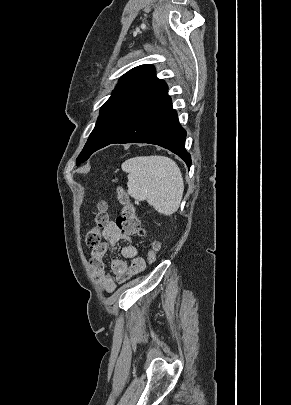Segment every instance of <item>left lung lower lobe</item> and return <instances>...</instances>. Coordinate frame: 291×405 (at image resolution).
Returning <instances> with one entry per match:
<instances>
[{
    "label": "left lung lower lobe",
    "mask_w": 291,
    "mask_h": 405,
    "mask_svg": "<svg viewBox=\"0 0 291 405\" xmlns=\"http://www.w3.org/2000/svg\"><path fill=\"white\" fill-rule=\"evenodd\" d=\"M186 131L172 108L167 84L159 80L143 97L123 133L112 143H150L162 146L183 159L190 168L185 149Z\"/></svg>",
    "instance_id": "left-lung-lower-lobe-1"
}]
</instances>
